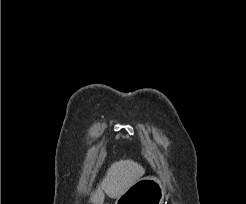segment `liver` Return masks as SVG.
<instances>
[{
    "mask_svg": "<svg viewBox=\"0 0 246 204\" xmlns=\"http://www.w3.org/2000/svg\"><path fill=\"white\" fill-rule=\"evenodd\" d=\"M145 173V169L133 160H120L113 163L105 177L90 198L92 204H103L105 194L118 199Z\"/></svg>",
    "mask_w": 246,
    "mask_h": 204,
    "instance_id": "liver-1",
    "label": "liver"
}]
</instances>
